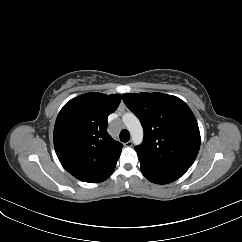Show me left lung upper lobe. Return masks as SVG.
Wrapping results in <instances>:
<instances>
[{
	"instance_id": "1",
	"label": "left lung upper lobe",
	"mask_w": 242,
	"mask_h": 242,
	"mask_svg": "<svg viewBox=\"0 0 242 242\" xmlns=\"http://www.w3.org/2000/svg\"><path fill=\"white\" fill-rule=\"evenodd\" d=\"M122 98L144 129L143 143L135 147L139 160L184 174L195 161L201 142L197 121L188 105L162 93H129Z\"/></svg>"
}]
</instances>
